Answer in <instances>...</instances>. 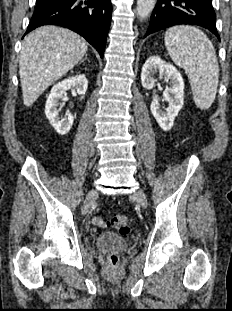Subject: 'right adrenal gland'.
I'll use <instances>...</instances> for the list:
<instances>
[{
  "label": "right adrenal gland",
  "instance_id": "right-adrenal-gland-1",
  "mask_svg": "<svg viewBox=\"0 0 232 311\" xmlns=\"http://www.w3.org/2000/svg\"><path fill=\"white\" fill-rule=\"evenodd\" d=\"M86 60H87L88 62H90L89 59L87 58V55H86V57H85L82 61H80V64L83 63V62L86 61Z\"/></svg>",
  "mask_w": 232,
  "mask_h": 311
}]
</instances>
